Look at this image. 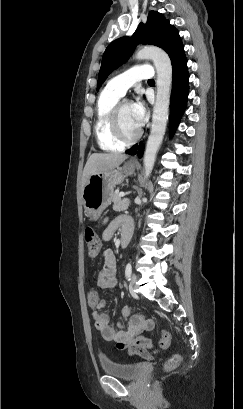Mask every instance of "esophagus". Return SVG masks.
Returning <instances> with one entry per match:
<instances>
[{
  "instance_id": "1",
  "label": "esophagus",
  "mask_w": 243,
  "mask_h": 409,
  "mask_svg": "<svg viewBox=\"0 0 243 409\" xmlns=\"http://www.w3.org/2000/svg\"><path fill=\"white\" fill-rule=\"evenodd\" d=\"M130 162H131V163H136V162H137V156H133V157L130 159Z\"/></svg>"
}]
</instances>
